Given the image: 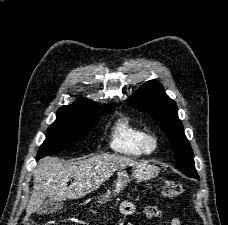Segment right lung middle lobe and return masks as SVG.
Masks as SVG:
<instances>
[{
	"label": "right lung middle lobe",
	"mask_w": 228,
	"mask_h": 225,
	"mask_svg": "<svg viewBox=\"0 0 228 225\" xmlns=\"http://www.w3.org/2000/svg\"><path fill=\"white\" fill-rule=\"evenodd\" d=\"M115 106L89 107L80 105L62 106L57 111L56 121L48 128L46 140L39 148L37 157L59 153L73 146L97 125L99 118L112 112Z\"/></svg>",
	"instance_id": "dd1d6c3e"
}]
</instances>
